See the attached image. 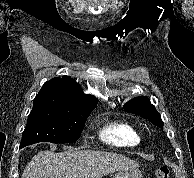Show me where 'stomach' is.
I'll use <instances>...</instances> for the list:
<instances>
[{"instance_id":"obj_1","label":"stomach","mask_w":194,"mask_h":178,"mask_svg":"<svg viewBox=\"0 0 194 178\" xmlns=\"http://www.w3.org/2000/svg\"><path fill=\"white\" fill-rule=\"evenodd\" d=\"M113 178H143L141 171L137 168L120 170Z\"/></svg>"}]
</instances>
